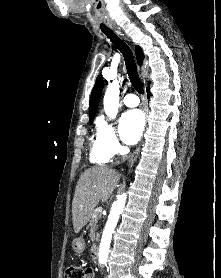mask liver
Listing matches in <instances>:
<instances>
[{
    "label": "liver",
    "mask_w": 221,
    "mask_h": 278,
    "mask_svg": "<svg viewBox=\"0 0 221 278\" xmlns=\"http://www.w3.org/2000/svg\"><path fill=\"white\" fill-rule=\"evenodd\" d=\"M120 174L105 166L85 170L76 185L72 202V221L75 233L88 223L99 201H107L118 186Z\"/></svg>",
    "instance_id": "liver-1"
}]
</instances>
